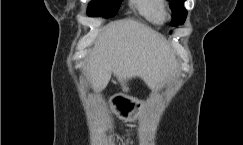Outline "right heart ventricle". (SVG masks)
Returning a JSON list of instances; mask_svg holds the SVG:
<instances>
[{"label": "right heart ventricle", "instance_id": "obj_1", "mask_svg": "<svg viewBox=\"0 0 243 145\" xmlns=\"http://www.w3.org/2000/svg\"><path fill=\"white\" fill-rule=\"evenodd\" d=\"M131 5L138 13L152 24L164 21V0H131Z\"/></svg>", "mask_w": 243, "mask_h": 145}]
</instances>
